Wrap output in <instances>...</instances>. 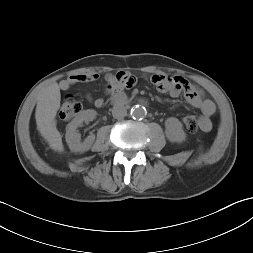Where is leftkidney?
<instances>
[{
	"mask_svg": "<svg viewBox=\"0 0 253 253\" xmlns=\"http://www.w3.org/2000/svg\"><path fill=\"white\" fill-rule=\"evenodd\" d=\"M165 135L171 142H183L186 139V133L183 130L182 123L174 117L166 119Z\"/></svg>",
	"mask_w": 253,
	"mask_h": 253,
	"instance_id": "left-kidney-1",
	"label": "left kidney"
}]
</instances>
